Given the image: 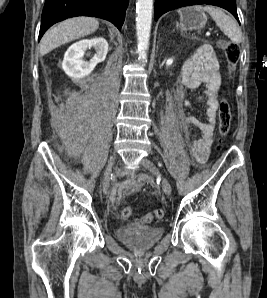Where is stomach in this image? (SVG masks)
I'll return each instance as SVG.
<instances>
[{"mask_svg":"<svg viewBox=\"0 0 267 298\" xmlns=\"http://www.w3.org/2000/svg\"><path fill=\"white\" fill-rule=\"evenodd\" d=\"M180 22L178 27L181 31L200 30L207 23V16L195 7H185L178 10Z\"/></svg>","mask_w":267,"mask_h":298,"instance_id":"0dacf381","label":"stomach"}]
</instances>
